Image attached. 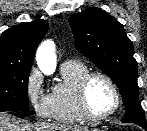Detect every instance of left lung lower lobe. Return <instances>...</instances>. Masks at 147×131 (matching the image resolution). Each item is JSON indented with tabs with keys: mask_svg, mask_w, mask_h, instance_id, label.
I'll use <instances>...</instances> for the list:
<instances>
[{
	"mask_svg": "<svg viewBox=\"0 0 147 131\" xmlns=\"http://www.w3.org/2000/svg\"><path fill=\"white\" fill-rule=\"evenodd\" d=\"M140 126L143 127L147 131V124H143V125H140Z\"/></svg>",
	"mask_w": 147,
	"mask_h": 131,
	"instance_id": "left-lung-lower-lobe-1",
	"label": "left lung lower lobe"
}]
</instances>
